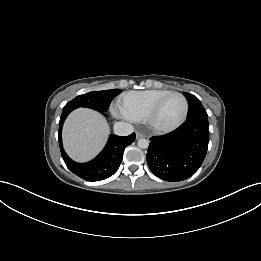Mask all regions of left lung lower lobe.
<instances>
[{"instance_id": "1", "label": "left lung lower lobe", "mask_w": 261, "mask_h": 261, "mask_svg": "<svg viewBox=\"0 0 261 261\" xmlns=\"http://www.w3.org/2000/svg\"><path fill=\"white\" fill-rule=\"evenodd\" d=\"M147 163L159 178L177 182L192 176L201 166L209 143L207 116L188 119L176 131L150 138Z\"/></svg>"}]
</instances>
